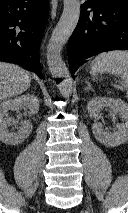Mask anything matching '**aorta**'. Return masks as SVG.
Returning <instances> with one entry per match:
<instances>
[{
	"label": "aorta",
	"mask_w": 128,
	"mask_h": 213,
	"mask_svg": "<svg viewBox=\"0 0 128 213\" xmlns=\"http://www.w3.org/2000/svg\"><path fill=\"white\" fill-rule=\"evenodd\" d=\"M63 4V13L47 45V64L52 77L62 79L58 88L62 96L68 97L72 92V80L61 52L78 23L81 8L80 0H63Z\"/></svg>",
	"instance_id": "obj_1"
}]
</instances>
